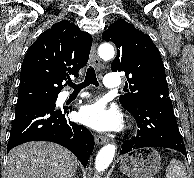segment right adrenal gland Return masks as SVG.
Returning a JSON list of instances; mask_svg holds the SVG:
<instances>
[{
  "label": "right adrenal gland",
  "instance_id": "right-adrenal-gland-1",
  "mask_svg": "<svg viewBox=\"0 0 194 178\" xmlns=\"http://www.w3.org/2000/svg\"><path fill=\"white\" fill-rule=\"evenodd\" d=\"M75 176H76V173H75L74 175H72V177H71V178H76Z\"/></svg>",
  "mask_w": 194,
  "mask_h": 178
}]
</instances>
